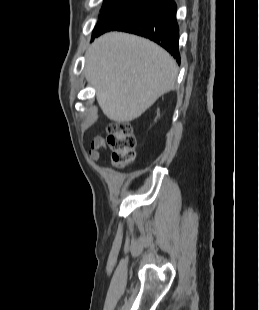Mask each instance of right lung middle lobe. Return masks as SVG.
I'll return each instance as SVG.
<instances>
[{
  "instance_id": "obj_1",
  "label": "right lung middle lobe",
  "mask_w": 259,
  "mask_h": 310,
  "mask_svg": "<svg viewBox=\"0 0 259 310\" xmlns=\"http://www.w3.org/2000/svg\"><path fill=\"white\" fill-rule=\"evenodd\" d=\"M159 3L158 0H111L103 3L99 20L93 30L92 39L116 30L129 20L148 11Z\"/></svg>"
}]
</instances>
